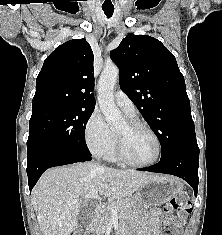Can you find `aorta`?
<instances>
[{
	"mask_svg": "<svg viewBox=\"0 0 222 235\" xmlns=\"http://www.w3.org/2000/svg\"><path fill=\"white\" fill-rule=\"evenodd\" d=\"M119 76L115 65L105 66L98 82V103L105 120L110 125H117L123 121V115L114 102V86Z\"/></svg>",
	"mask_w": 222,
	"mask_h": 235,
	"instance_id": "obj_1",
	"label": "aorta"
}]
</instances>
